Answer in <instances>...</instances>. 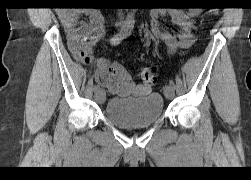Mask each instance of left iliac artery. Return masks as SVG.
<instances>
[{"mask_svg":"<svg viewBox=\"0 0 251 180\" xmlns=\"http://www.w3.org/2000/svg\"><path fill=\"white\" fill-rule=\"evenodd\" d=\"M169 85L175 87L174 81H173V80H170V81H169Z\"/></svg>","mask_w":251,"mask_h":180,"instance_id":"1","label":"left iliac artery"}]
</instances>
